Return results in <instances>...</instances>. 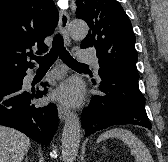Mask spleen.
Instances as JSON below:
<instances>
[{"label": "spleen", "mask_w": 168, "mask_h": 162, "mask_svg": "<svg viewBox=\"0 0 168 162\" xmlns=\"http://www.w3.org/2000/svg\"><path fill=\"white\" fill-rule=\"evenodd\" d=\"M109 138L122 140L130 148V153L135 156L136 162H154L145 144L132 132L122 128L110 129L102 133L98 137L97 142L99 143Z\"/></svg>", "instance_id": "spleen-1"}]
</instances>
